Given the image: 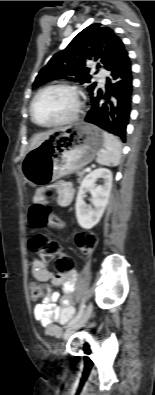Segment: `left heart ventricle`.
I'll use <instances>...</instances> for the list:
<instances>
[{"label": "left heart ventricle", "instance_id": "left-heart-ventricle-1", "mask_svg": "<svg viewBox=\"0 0 155 395\" xmlns=\"http://www.w3.org/2000/svg\"><path fill=\"white\" fill-rule=\"evenodd\" d=\"M75 97L66 89H51L35 102L34 116L39 123L49 124L68 117L75 107Z\"/></svg>", "mask_w": 155, "mask_h": 395}]
</instances>
